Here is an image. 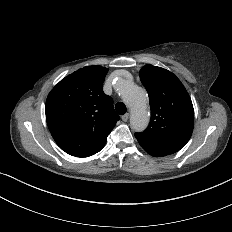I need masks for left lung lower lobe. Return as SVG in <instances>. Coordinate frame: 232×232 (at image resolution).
<instances>
[{
	"instance_id": "obj_1",
	"label": "left lung lower lobe",
	"mask_w": 232,
	"mask_h": 232,
	"mask_svg": "<svg viewBox=\"0 0 232 232\" xmlns=\"http://www.w3.org/2000/svg\"><path fill=\"white\" fill-rule=\"evenodd\" d=\"M139 144L142 146V148L149 153L150 155L154 156V157H162V156H166L169 154H173L175 152H177L176 150L164 146V145H160V144H156V143H151V142H147L144 140H140L138 139Z\"/></svg>"
}]
</instances>
